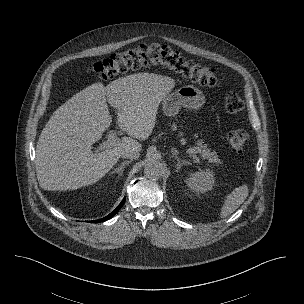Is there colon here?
<instances>
[{
  "mask_svg": "<svg viewBox=\"0 0 304 304\" xmlns=\"http://www.w3.org/2000/svg\"><path fill=\"white\" fill-rule=\"evenodd\" d=\"M149 65L164 66L202 86L212 87L220 83L214 69L187 60L178 52L160 44H142L123 53L113 54L92 65L88 73L95 78L107 80ZM224 107L227 113L235 114L243 110L244 101L238 94L229 93L225 97ZM226 140L232 152L239 154L245 149L248 134L244 129H235L227 134Z\"/></svg>",
  "mask_w": 304,
  "mask_h": 304,
  "instance_id": "1",
  "label": "colon"
}]
</instances>
